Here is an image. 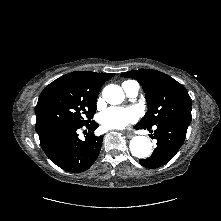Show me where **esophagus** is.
<instances>
[{
    "label": "esophagus",
    "mask_w": 221,
    "mask_h": 221,
    "mask_svg": "<svg viewBox=\"0 0 221 221\" xmlns=\"http://www.w3.org/2000/svg\"><path fill=\"white\" fill-rule=\"evenodd\" d=\"M126 134H127V136H128L129 138L133 137V134L130 133V132H126Z\"/></svg>",
    "instance_id": "1"
}]
</instances>
